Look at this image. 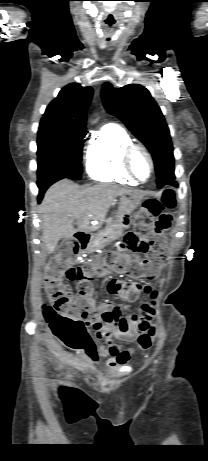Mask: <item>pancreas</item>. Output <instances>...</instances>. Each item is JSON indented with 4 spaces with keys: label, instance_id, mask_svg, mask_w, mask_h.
<instances>
[{
    "label": "pancreas",
    "instance_id": "1",
    "mask_svg": "<svg viewBox=\"0 0 208 461\" xmlns=\"http://www.w3.org/2000/svg\"><path fill=\"white\" fill-rule=\"evenodd\" d=\"M106 222H107V225H109L112 222V218H108Z\"/></svg>",
    "mask_w": 208,
    "mask_h": 461
}]
</instances>
